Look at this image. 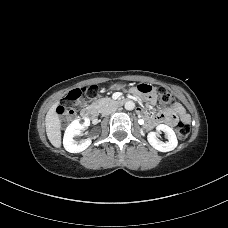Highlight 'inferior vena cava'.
I'll return each mask as SVG.
<instances>
[{"instance_id":"602c4592","label":"inferior vena cava","mask_w":228,"mask_h":228,"mask_svg":"<svg viewBox=\"0 0 228 228\" xmlns=\"http://www.w3.org/2000/svg\"><path fill=\"white\" fill-rule=\"evenodd\" d=\"M116 109H117L116 107H107L102 111V115L107 116L109 114H112L116 111Z\"/></svg>"}]
</instances>
